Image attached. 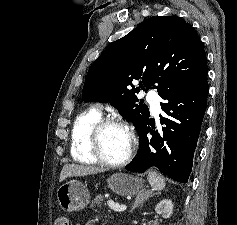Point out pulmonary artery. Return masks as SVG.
I'll use <instances>...</instances> for the list:
<instances>
[{
	"label": "pulmonary artery",
	"mask_w": 237,
	"mask_h": 225,
	"mask_svg": "<svg viewBox=\"0 0 237 225\" xmlns=\"http://www.w3.org/2000/svg\"><path fill=\"white\" fill-rule=\"evenodd\" d=\"M147 100L151 105L153 113L158 114L159 111H160V103H159L158 95L154 92L149 93L148 96H147Z\"/></svg>",
	"instance_id": "1"
}]
</instances>
